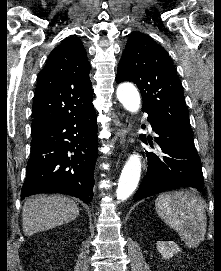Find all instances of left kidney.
<instances>
[{
    "mask_svg": "<svg viewBox=\"0 0 221 271\" xmlns=\"http://www.w3.org/2000/svg\"><path fill=\"white\" fill-rule=\"evenodd\" d=\"M156 245L162 257H167V259L173 257L178 251H181V247L175 241H157Z\"/></svg>",
    "mask_w": 221,
    "mask_h": 271,
    "instance_id": "5707ae66",
    "label": "left kidney"
}]
</instances>
